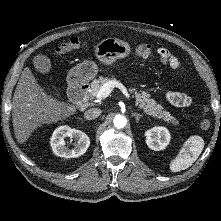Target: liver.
<instances>
[{"label":"liver","instance_id":"6515ba94","mask_svg":"<svg viewBox=\"0 0 221 221\" xmlns=\"http://www.w3.org/2000/svg\"><path fill=\"white\" fill-rule=\"evenodd\" d=\"M33 64L41 73H45L48 65H51L49 58L43 55H37ZM76 111L77 106L48 95L37 83L30 68H24L12 102L14 133L19 143L26 142L31 133L43 124L65 120Z\"/></svg>","mask_w":221,"mask_h":221}]
</instances>
